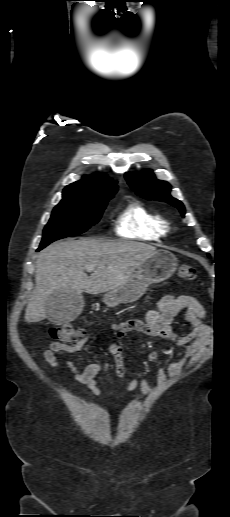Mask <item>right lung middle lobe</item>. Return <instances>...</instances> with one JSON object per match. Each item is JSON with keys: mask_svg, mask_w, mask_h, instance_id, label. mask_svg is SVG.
I'll return each mask as SVG.
<instances>
[{"mask_svg": "<svg viewBox=\"0 0 230 517\" xmlns=\"http://www.w3.org/2000/svg\"><path fill=\"white\" fill-rule=\"evenodd\" d=\"M116 193L108 192L94 199L62 200L54 209L43 231L40 249L49 243L65 237L76 236L96 224Z\"/></svg>", "mask_w": 230, "mask_h": 517, "instance_id": "obj_1", "label": "right lung middle lobe"}]
</instances>
